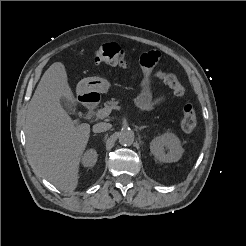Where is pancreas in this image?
Instances as JSON below:
<instances>
[{"instance_id":"cf45deb5","label":"pancreas","mask_w":246,"mask_h":246,"mask_svg":"<svg viewBox=\"0 0 246 246\" xmlns=\"http://www.w3.org/2000/svg\"><path fill=\"white\" fill-rule=\"evenodd\" d=\"M118 104H119V100L111 99L110 101L104 103V107L114 109L115 107H117Z\"/></svg>"}]
</instances>
